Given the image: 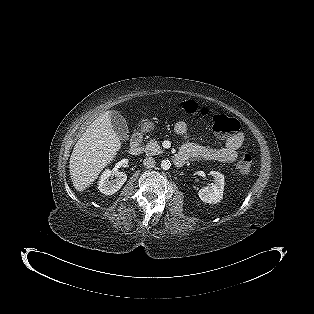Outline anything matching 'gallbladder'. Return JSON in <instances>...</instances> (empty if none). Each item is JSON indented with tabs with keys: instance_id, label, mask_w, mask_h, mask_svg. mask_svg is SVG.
<instances>
[{
	"instance_id": "bac80fb5",
	"label": "gallbladder",
	"mask_w": 314,
	"mask_h": 314,
	"mask_svg": "<svg viewBox=\"0 0 314 314\" xmlns=\"http://www.w3.org/2000/svg\"><path fill=\"white\" fill-rule=\"evenodd\" d=\"M111 124L113 130L120 140L127 141L129 139V129L127 122L118 111H113L111 113Z\"/></svg>"
}]
</instances>
